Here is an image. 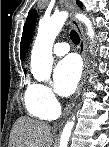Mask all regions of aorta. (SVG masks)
<instances>
[{"instance_id": "1", "label": "aorta", "mask_w": 109, "mask_h": 147, "mask_svg": "<svg viewBox=\"0 0 109 147\" xmlns=\"http://www.w3.org/2000/svg\"><path fill=\"white\" fill-rule=\"evenodd\" d=\"M68 12L54 13L48 19L39 22L38 33L34 42L31 54V72L38 81H45L50 78L52 72V48L56 36L62 29ZM76 18L82 21L87 28V35L93 40L94 30L90 19L84 14H76ZM74 117L68 121L61 133L59 147H67L69 138L74 126Z\"/></svg>"}]
</instances>
